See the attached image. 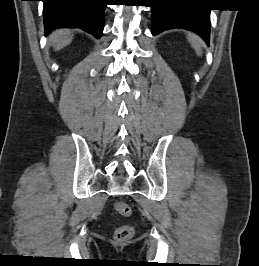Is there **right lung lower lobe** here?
I'll return each instance as SVG.
<instances>
[{"mask_svg": "<svg viewBox=\"0 0 259 266\" xmlns=\"http://www.w3.org/2000/svg\"><path fill=\"white\" fill-rule=\"evenodd\" d=\"M45 34L61 27H78L102 36L106 0H42Z\"/></svg>", "mask_w": 259, "mask_h": 266, "instance_id": "right-lung-lower-lobe-1", "label": "right lung lower lobe"}]
</instances>
